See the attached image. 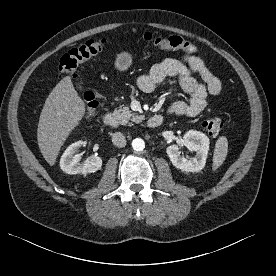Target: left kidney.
Masks as SVG:
<instances>
[{"instance_id":"1","label":"left kidney","mask_w":276,"mask_h":276,"mask_svg":"<svg viewBox=\"0 0 276 276\" xmlns=\"http://www.w3.org/2000/svg\"><path fill=\"white\" fill-rule=\"evenodd\" d=\"M209 138L202 132L189 130L185 133L181 145L196 152L193 158H185L181 155L179 146L173 144L166 149L167 155L172 164L185 172H199L205 166L208 150Z\"/></svg>"}]
</instances>
